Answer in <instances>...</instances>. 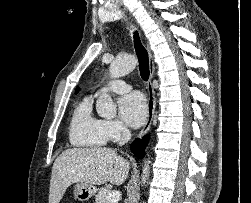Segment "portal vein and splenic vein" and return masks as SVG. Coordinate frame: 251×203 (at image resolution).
<instances>
[{
  "mask_svg": "<svg viewBox=\"0 0 251 203\" xmlns=\"http://www.w3.org/2000/svg\"><path fill=\"white\" fill-rule=\"evenodd\" d=\"M120 192L119 191H112L107 195V200H109L111 203H117L120 199Z\"/></svg>",
  "mask_w": 251,
  "mask_h": 203,
  "instance_id": "portal-vein-and-splenic-vein-1",
  "label": "portal vein and splenic vein"
}]
</instances>
